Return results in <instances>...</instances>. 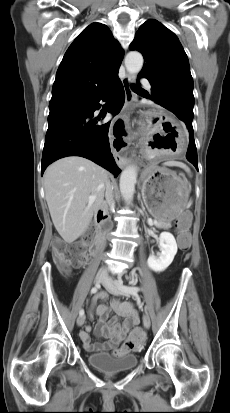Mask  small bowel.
Listing matches in <instances>:
<instances>
[{"label": "small bowel", "mask_w": 230, "mask_h": 413, "mask_svg": "<svg viewBox=\"0 0 230 413\" xmlns=\"http://www.w3.org/2000/svg\"><path fill=\"white\" fill-rule=\"evenodd\" d=\"M106 297L107 295L105 293H101L97 296V298L100 299H105ZM96 299L92 303L90 313L92 316L96 314L99 317V321L95 328V335L99 338H106L107 341L93 342L89 335L92 328L90 325H87L84 331L80 333L84 348L90 352L111 351L114 355L130 354L131 350L127 347V341L124 343L122 342L124 336L130 329L138 324L139 317L137 312L131 303L121 301L118 298H112L109 306L97 304ZM111 310L116 313V316L108 318ZM117 316L124 318L122 324H119Z\"/></svg>", "instance_id": "c3829d8e"}]
</instances>
